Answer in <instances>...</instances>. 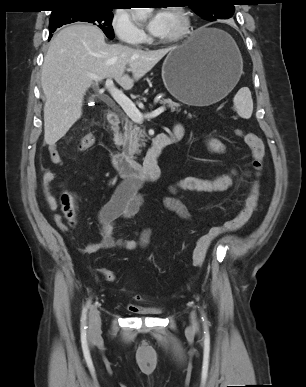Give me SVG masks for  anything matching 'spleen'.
Returning <instances> with one entry per match:
<instances>
[{"label":"spleen","mask_w":306,"mask_h":387,"mask_svg":"<svg viewBox=\"0 0 306 387\" xmlns=\"http://www.w3.org/2000/svg\"><path fill=\"white\" fill-rule=\"evenodd\" d=\"M237 114L244 119H249L253 112V100L248 87H242L233 99Z\"/></svg>","instance_id":"spleen-1"}]
</instances>
